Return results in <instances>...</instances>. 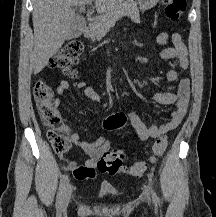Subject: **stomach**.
I'll list each match as a JSON object with an SVG mask.
<instances>
[{"label": "stomach", "instance_id": "stomach-1", "mask_svg": "<svg viewBox=\"0 0 216 217\" xmlns=\"http://www.w3.org/2000/svg\"><path fill=\"white\" fill-rule=\"evenodd\" d=\"M158 2L159 0H138L139 7L142 11L155 7Z\"/></svg>", "mask_w": 216, "mask_h": 217}]
</instances>
